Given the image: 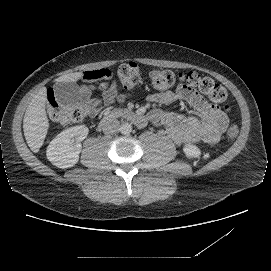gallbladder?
I'll return each mask as SVG.
<instances>
[{"instance_id":"1","label":"gallbladder","mask_w":271,"mask_h":271,"mask_svg":"<svg viewBox=\"0 0 271 271\" xmlns=\"http://www.w3.org/2000/svg\"><path fill=\"white\" fill-rule=\"evenodd\" d=\"M53 89L57 92V98L66 108H75L82 101V87L75 80L56 82Z\"/></svg>"}]
</instances>
